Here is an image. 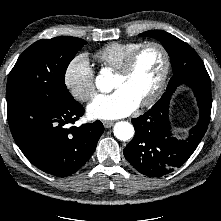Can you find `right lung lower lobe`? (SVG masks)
<instances>
[{
	"instance_id": "obj_1",
	"label": "right lung lower lobe",
	"mask_w": 221,
	"mask_h": 221,
	"mask_svg": "<svg viewBox=\"0 0 221 221\" xmlns=\"http://www.w3.org/2000/svg\"><path fill=\"white\" fill-rule=\"evenodd\" d=\"M12 135L26 158L42 171L70 176L90 159L104 131L100 121L71 126L84 114L72 99L26 97L7 102Z\"/></svg>"
}]
</instances>
